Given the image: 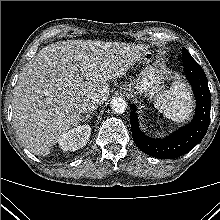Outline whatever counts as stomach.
I'll return each instance as SVG.
<instances>
[{"label": "stomach", "mask_w": 220, "mask_h": 220, "mask_svg": "<svg viewBox=\"0 0 220 220\" xmlns=\"http://www.w3.org/2000/svg\"><path fill=\"white\" fill-rule=\"evenodd\" d=\"M141 62L143 68L139 76L122 86L123 92H132L134 94H144L148 98H153L161 92L164 81L165 71L158 63L156 49L146 47L142 52Z\"/></svg>", "instance_id": "1"}]
</instances>
